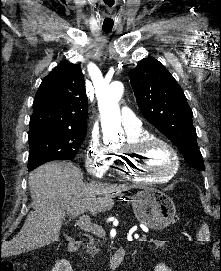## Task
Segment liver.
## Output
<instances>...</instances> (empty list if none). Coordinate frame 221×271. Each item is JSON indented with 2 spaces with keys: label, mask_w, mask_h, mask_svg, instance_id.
<instances>
[{
  "label": "liver",
  "mask_w": 221,
  "mask_h": 271,
  "mask_svg": "<svg viewBox=\"0 0 221 271\" xmlns=\"http://www.w3.org/2000/svg\"><path fill=\"white\" fill-rule=\"evenodd\" d=\"M33 211H29L19 233L2 245V255H18L59 241L66 215L90 211L97 215L114 205L112 191H126L125 183H84L83 171L74 163L50 161L36 167L28 179ZM98 195V197H97ZM102 195V197H99Z\"/></svg>",
  "instance_id": "6515ba94"
}]
</instances>
